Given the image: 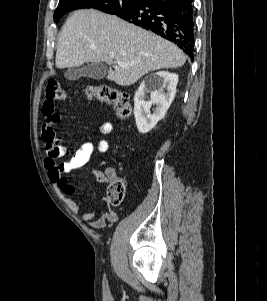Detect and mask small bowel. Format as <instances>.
Here are the masks:
<instances>
[{
	"instance_id": "obj_1",
	"label": "small bowel",
	"mask_w": 267,
	"mask_h": 301,
	"mask_svg": "<svg viewBox=\"0 0 267 301\" xmlns=\"http://www.w3.org/2000/svg\"><path fill=\"white\" fill-rule=\"evenodd\" d=\"M42 114L44 115V121L41 131L46 150L44 166L59 196L73 214L79 215V206L73 199L76 191L75 187L68 182L64 175L74 170L83 169L89 163L94 151L107 152L110 148V143L106 139L99 141L88 140L75 151L68 161L57 163V160L66 154L67 148L59 143L54 130V125L60 120L54 100L46 99L44 101ZM112 130V123L107 121L97 128L91 129L92 133L103 136L109 135ZM89 172L95 180L101 183H108L110 177L115 175L112 170H107L103 173L96 169H90ZM80 217L93 229L109 227L118 220V214L112 209L104 212L101 216H97L95 212H86L81 214Z\"/></svg>"
}]
</instances>
